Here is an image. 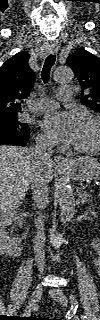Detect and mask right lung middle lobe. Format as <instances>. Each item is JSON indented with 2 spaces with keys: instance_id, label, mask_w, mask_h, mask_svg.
<instances>
[{
  "instance_id": "1",
  "label": "right lung middle lobe",
  "mask_w": 100,
  "mask_h": 320,
  "mask_svg": "<svg viewBox=\"0 0 100 320\" xmlns=\"http://www.w3.org/2000/svg\"><path fill=\"white\" fill-rule=\"evenodd\" d=\"M28 125L22 123L18 117L0 119V139L6 137H27Z\"/></svg>"
}]
</instances>
